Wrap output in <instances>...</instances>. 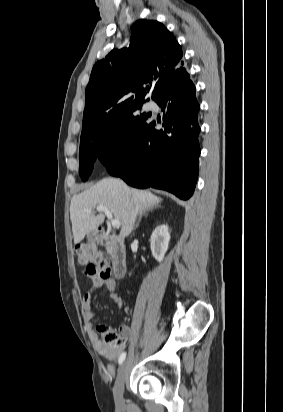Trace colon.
<instances>
[{"instance_id": "colon-1", "label": "colon", "mask_w": 283, "mask_h": 412, "mask_svg": "<svg viewBox=\"0 0 283 412\" xmlns=\"http://www.w3.org/2000/svg\"><path fill=\"white\" fill-rule=\"evenodd\" d=\"M76 254L78 262L85 266V272L88 275H96L101 278L110 277L112 263L104 256L100 248L91 244H82L77 246ZM97 329L107 351H114L125 342L126 338L121 333L105 325H99Z\"/></svg>"}]
</instances>
